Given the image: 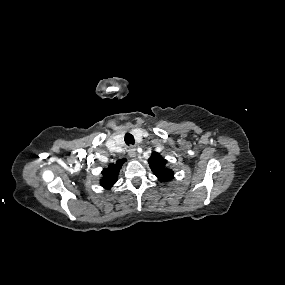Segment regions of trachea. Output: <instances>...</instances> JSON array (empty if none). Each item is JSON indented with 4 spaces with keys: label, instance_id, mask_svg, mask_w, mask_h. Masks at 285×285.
<instances>
[{
    "label": "trachea",
    "instance_id": "obj_1",
    "mask_svg": "<svg viewBox=\"0 0 285 285\" xmlns=\"http://www.w3.org/2000/svg\"><path fill=\"white\" fill-rule=\"evenodd\" d=\"M124 141L127 145H134V143H135L134 137L130 133L125 134Z\"/></svg>",
    "mask_w": 285,
    "mask_h": 285
}]
</instances>
